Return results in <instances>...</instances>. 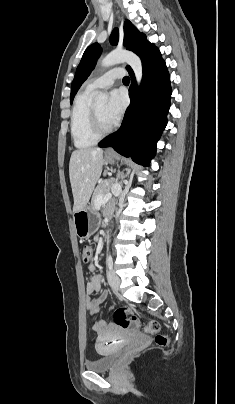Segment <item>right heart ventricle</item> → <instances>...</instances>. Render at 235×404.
I'll list each match as a JSON object with an SVG mask.
<instances>
[{"label": "right heart ventricle", "mask_w": 235, "mask_h": 404, "mask_svg": "<svg viewBox=\"0 0 235 404\" xmlns=\"http://www.w3.org/2000/svg\"><path fill=\"white\" fill-rule=\"evenodd\" d=\"M90 94L86 89L79 93L72 109L70 132L75 147L79 149L89 148L98 142L91 130Z\"/></svg>", "instance_id": "right-heart-ventricle-1"}]
</instances>
